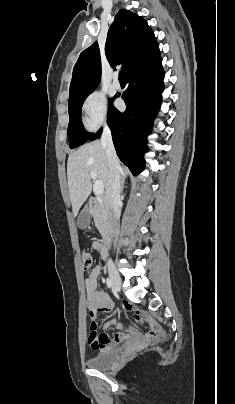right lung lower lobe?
I'll list each match as a JSON object with an SVG mask.
<instances>
[{"label":"right lung lower lobe","mask_w":235,"mask_h":404,"mask_svg":"<svg viewBox=\"0 0 235 404\" xmlns=\"http://www.w3.org/2000/svg\"><path fill=\"white\" fill-rule=\"evenodd\" d=\"M161 62L159 57L127 75L129 85L122 95L126 103L124 113L113 105L109 107L108 124L117 155L133 175L139 174L144 168L147 135L161 103L164 78ZM101 132L90 139H96Z\"/></svg>","instance_id":"98d812e1"}]
</instances>
